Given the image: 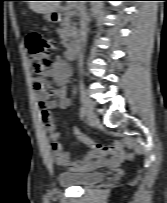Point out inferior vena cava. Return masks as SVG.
<instances>
[{"mask_svg":"<svg viewBox=\"0 0 167 203\" xmlns=\"http://www.w3.org/2000/svg\"><path fill=\"white\" fill-rule=\"evenodd\" d=\"M87 14L84 9H80V41L81 46L79 47V58H80V67H82L83 54L81 53L82 47L85 46L87 38Z\"/></svg>","mask_w":167,"mask_h":203,"instance_id":"602c4592","label":"inferior vena cava"}]
</instances>
